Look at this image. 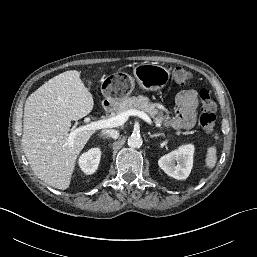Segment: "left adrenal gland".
Wrapping results in <instances>:
<instances>
[{
	"instance_id": "1",
	"label": "left adrenal gland",
	"mask_w": 257,
	"mask_h": 257,
	"mask_svg": "<svg viewBox=\"0 0 257 257\" xmlns=\"http://www.w3.org/2000/svg\"><path fill=\"white\" fill-rule=\"evenodd\" d=\"M149 136H150V138L159 137V136L165 137V135L163 133H156V134L149 133Z\"/></svg>"
}]
</instances>
